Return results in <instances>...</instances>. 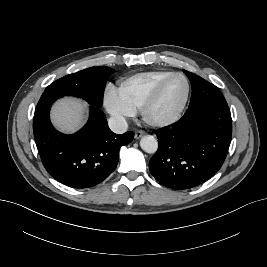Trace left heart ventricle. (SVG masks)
<instances>
[{
  "label": "left heart ventricle",
  "mask_w": 267,
  "mask_h": 267,
  "mask_svg": "<svg viewBox=\"0 0 267 267\" xmlns=\"http://www.w3.org/2000/svg\"><path fill=\"white\" fill-rule=\"evenodd\" d=\"M186 92V83L181 77L171 79L164 87L157 103L151 110L154 118L171 115L180 106Z\"/></svg>",
  "instance_id": "obj_1"
}]
</instances>
